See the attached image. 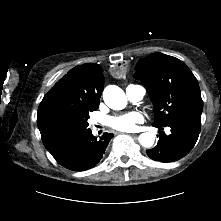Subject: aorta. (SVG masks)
Returning <instances> with one entry per match:
<instances>
[{
  "instance_id": "aorta-1",
  "label": "aorta",
  "mask_w": 221,
  "mask_h": 221,
  "mask_svg": "<svg viewBox=\"0 0 221 221\" xmlns=\"http://www.w3.org/2000/svg\"><path fill=\"white\" fill-rule=\"evenodd\" d=\"M103 99L105 104L113 110H122L127 105V97L124 91L116 85H109L104 89ZM154 141L153 133L145 132L139 136V142L143 147H151Z\"/></svg>"
}]
</instances>
